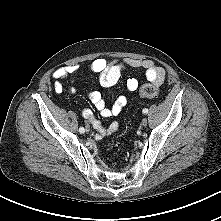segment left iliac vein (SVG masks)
<instances>
[{
    "label": "left iliac vein",
    "instance_id": "4c4485c4",
    "mask_svg": "<svg viewBox=\"0 0 221 221\" xmlns=\"http://www.w3.org/2000/svg\"><path fill=\"white\" fill-rule=\"evenodd\" d=\"M147 124H148V120H147L146 118H144V119L142 120V122H141V125H142L143 127H146Z\"/></svg>",
    "mask_w": 221,
    "mask_h": 221
}]
</instances>
